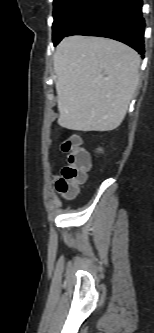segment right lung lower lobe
<instances>
[{
  "mask_svg": "<svg viewBox=\"0 0 154 333\" xmlns=\"http://www.w3.org/2000/svg\"><path fill=\"white\" fill-rule=\"evenodd\" d=\"M142 0H100L70 35L107 37L144 54Z\"/></svg>",
  "mask_w": 154,
  "mask_h": 333,
  "instance_id": "obj_1",
  "label": "right lung lower lobe"
}]
</instances>
